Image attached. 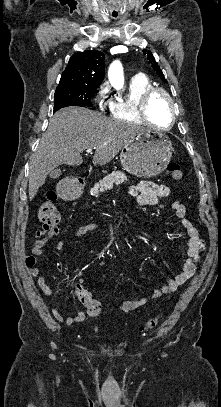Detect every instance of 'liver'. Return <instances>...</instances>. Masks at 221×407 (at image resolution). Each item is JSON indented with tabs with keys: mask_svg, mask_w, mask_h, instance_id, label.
I'll list each match as a JSON object with an SVG mask.
<instances>
[{
	"mask_svg": "<svg viewBox=\"0 0 221 407\" xmlns=\"http://www.w3.org/2000/svg\"><path fill=\"white\" fill-rule=\"evenodd\" d=\"M143 132L141 126L110 119L86 108L66 107L57 111L30 160L29 199L35 197L54 168L61 164L81 165L84 150L95 149L93 164L105 165Z\"/></svg>",
	"mask_w": 221,
	"mask_h": 407,
	"instance_id": "liver-1",
	"label": "liver"
}]
</instances>
